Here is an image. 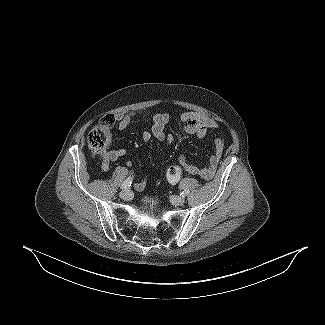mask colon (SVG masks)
<instances>
[{"mask_svg": "<svg viewBox=\"0 0 325 325\" xmlns=\"http://www.w3.org/2000/svg\"><path fill=\"white\" fill-rule=\"evenodd\" d=\"M114 118L104 117L89 133L88 146L95 152L103 151L112 139ZM182 176V169L178 165H172L166 170V179L169 183H177Z\"/></svg>", "mask_w": 325, "mask_h": 325, "instance_id": "5ec220e1", "label": "colon"}]
</instances>
